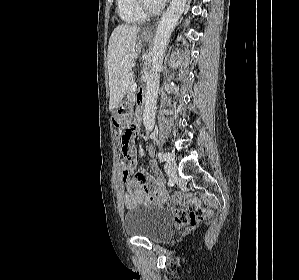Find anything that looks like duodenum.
Listing matches in <instances>:
<instances>
[{"label": "duodenum", "instance_id": "1", "mask_svg": "<svg viewBox=\"0 0 299 280\" xmlns=\"http://www.w3.org/2000/svg\"><path fill=\"white\" fill-rule=\"evenodd\" d=\"M137 100H138V104H139L140 108H141L142 110H144V108H145V100H144V96H143V94H139Z\"/></svg>", "mask_w": 299, "mask_h": 280}]
</instances>
